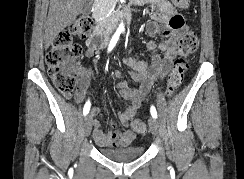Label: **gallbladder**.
<instances>
[{
	"label": "gallbladder",
	"instance_id": "1",
	"mask_svg": "<svg viewBox=\"0 0 244 179\" xmlns=\"http://www.w3.org/2000/svg\"><path fill=\"white\" fill-rule=\"evenodd\" d=\"M93 0H84L82 4L81 14H90Z\"/></svg>",
	"mask_w": 244,
	"mask_h": 179
}]
</instances>
